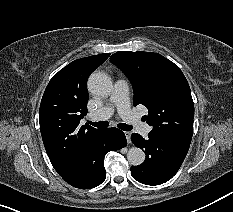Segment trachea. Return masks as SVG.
Returning <instances> with one entry per match:
<instances>
[{"instance_id": "3493384b", "label": "trachea", "mask_w": 233, "mask_h": 212, "mask_svg": "<svg viewBox=\"0 0 233 212\" xmlns=\"http://www.w3.org/2000/svg\"><path fill=\"white\" fill-rule=\"evenodd\" d=\"M88 123L97 128H107L109 126L108 121H99V122L88 121ZM117 127L123 131H130L132 129V126L127 125L125 123H119Z\"/></svg>"}]
</instances>
